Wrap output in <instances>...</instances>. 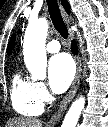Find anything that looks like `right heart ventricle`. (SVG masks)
Wrapping results in <instances>:
<instances>
[{"mask_svg":"<svg viewBox=\"0 0 108 127\" xmlns=\"http://www.w3.org/2000/svg\"><path fill=\"white\" fill-rule=\"evenodd\" d=\"M11 102L14 110L23 116H37L43 111L35 93L34 82L26 79L17 71L11 80Z\"/></svg>","mask_w":108,"mask_h":127,"instance_id":"e07e8e85","label":"right heart ventricle"}]
</instances>
